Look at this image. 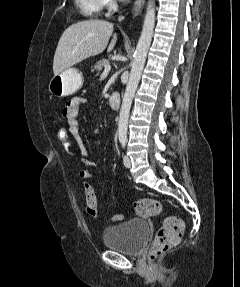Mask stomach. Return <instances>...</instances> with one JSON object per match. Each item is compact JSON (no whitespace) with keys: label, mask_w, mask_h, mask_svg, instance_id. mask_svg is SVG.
<instances>
[{"label":"stomach","mask_w":240,"mask_h":287,"mask_svg":"<svg viewBox=\"0 0 240 287\" xmlns=\"http://www.w3.org/2000/svg\"><path fill=\"white\" fill-rule=\"evenodd\" d=\"M83 82L84 78L80 70L67 68L51 78L48 91L55 97H66L77 92L82 87Z\"/></svg>","instance_id":"0dacf381"}]
</instances>
